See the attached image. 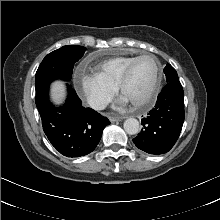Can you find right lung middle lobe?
<instances>
[{
  "label": "right lung middle lobe",
  "mask_w": 220,
  "mask_h": 220,
  "mask_svg": "<svg viewBox=\"0 0 220 220\" xmlns=\"http://www.w3.org/2000/svg\"><path fill=\"white\" fill-rule=\"evenodd\" d=\"M86 51L83 46L67 45L49 53L41 62L35 76L36 93L57 78L69 80L72 76L74 63Z\"/></svg>",
  "instance_id": "dd1d6c3e"
}]
</instances>
